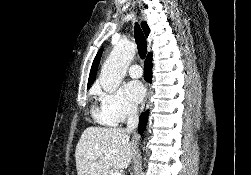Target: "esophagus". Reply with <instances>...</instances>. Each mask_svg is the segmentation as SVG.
Segmentation results:
<instances>
[{"label":"esophagus","mask_w":251,"mask_h":175,"mask_svg":"<svg viewBox=\"0 0 251 175\" xmlns=\"http://www.w3.org/2000/svg\"><path fill=\"white\" fill-rule=\"evenodd\" d=\"M145 87H146V96L141 104L140 113H143L149 108L151 96H152V90H151L150 85L146 83Z\"/></svg>","instance_id":"obj_1"}]
</instances>
